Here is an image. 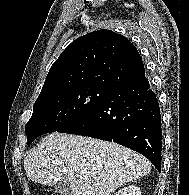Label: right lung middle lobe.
<instances>
[{
  "instance_id": "right-lung-middle-lobe-1",
  "label": "right lung middle lobe",
  "mask_w": 189,
  "mask_h": 195,
  "mask_svg": "<svg viewBox=\"0 0 189 195\" xmlns=\"http://www.w3.org/2000/svg\"><path fill=\"white\" fill-rule=\"evenodd\" d=\"M111 90L76 87L39 96L26 124L27 144L43 134L59 131L84 116Z\"/></svg>"
}]
</instances>
